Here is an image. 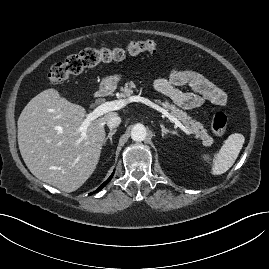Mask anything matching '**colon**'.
<instances>
[{"label":"colon","instance_id":"obj_1","mask_svg":"<svg viewBox=\"0 0 269 269\" xmlns=\"http://www.w3.org/2000/svg\"><path fill=\"white\" fill-rule=\"evenodd\" d=\"M156 43L154 40L130 41L125 46L111 48L85 49L78 54L69 56L65 61L55 64L49 71L48 78L52 84H60L71 75L78 74L86 68L101 63L121 61L127 56L141 53H154ZM227 116L222 111H216L211 117V128L216 136H222L227 130Z\"/></svg>","mask_w":269,"mask_h":269}]
</instances>
